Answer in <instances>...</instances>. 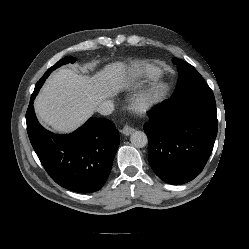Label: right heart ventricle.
<instances>
[{"instance_id":"1","label":"right heart ventricle","mask_w":249,"mask_h":249,"mask_svg":"<svg viewBox=\"0 0 249 249\" xmlns=\"http://www.w3.org/2000/svg\"><path fill=\"white\" fill-rule=\"evenodd\" d=\"M133 77L143 80H155L158 79L162 72L161 70L152 64L138 62L133 68Z\"/></svg>"}]
</instances>
